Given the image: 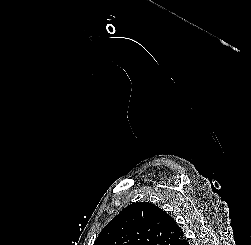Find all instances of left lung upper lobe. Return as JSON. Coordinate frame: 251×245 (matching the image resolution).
I'll use <instances>...</instances> for the list:
<instances>
[{
    "mask_svg": "<svg viewBox=\"0 0 251 245\" xmlns=\"http://www.w3.org/2000/svg\"><path fill=\"white\" fill-rule=\"evenodd\" d=\"M184 233L176 221L149 202L128 205L101 231L94 245H177Z\"/></svg>",
    "mask_w": 251,
    "mask_h": 245,
    "instance_id": "left-lung-upper-lobe-1",
    "label": "left lung upper lobe"
}]
</instances>
